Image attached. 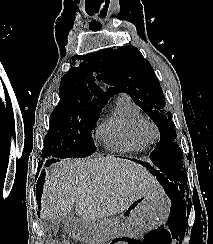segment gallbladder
Returning a JSON list of instances; mask_svg holds the SVG:
<instances>
[{
	"instance_id": "gallbladder-1",
	"label": "gallbladder",
	"mask_w": 213,
	"mask_h": 244,
	"mask_svg": "<svg viewBox=\"0 0 213 244\" xmlns=\"http://www.w3.org/2000/svg\"><path fill=\"white\" fill-rule=\"evenodd\" d=\"M42 224H43L45 232L48 233L49 235H52V234L57 233V231L59 230L60 220L59 219H55V220L44 219L42 221Z\"/></svg>"
}]
</instances>
